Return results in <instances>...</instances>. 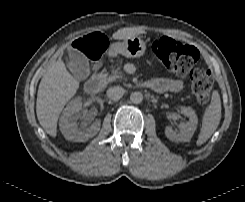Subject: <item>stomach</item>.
<instances>
[{"mask_svg": "<svg viewBox=\"0 0 245 202\" xmlns=\"http://www.w3.org/2000/svg\"><path fill=\"white\" fill-rule=\"evenodd\" d=\"M146 43L138 36L124 39L123 42L112 44L110 52L112 55L121 54L127 58H138L144 55Z\"/></svg>", "mask_w": 245, "mask_h": 202, "instance_id": "0dacf381", "label": "stomach"}]
</instances>
